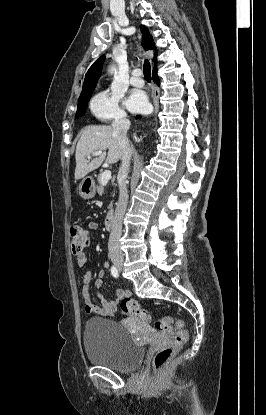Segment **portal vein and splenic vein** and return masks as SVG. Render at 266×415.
Masks as SVG:
<instances>
[{
	"mask_svg": "<svg viewBox=\"0 0 266 415\" xmlns=\"http://www.w3.org/2000/svg\"><path fill=\"white\" fill-rule=\"evenodd\" d=\"M102 153L103 152L101 150L95 151L94 153H92V155L88 156V159L90 160L93 156H98V155H101ZM110 179H111V171L110 170H105L101 174V183L103 185H106Z\"/></svg>",
	"mask_w": 266,
	"mask_h": 415,
	"instance_id": "1",
	"label": "portal vein and splenic vein"
}]
</instances>
